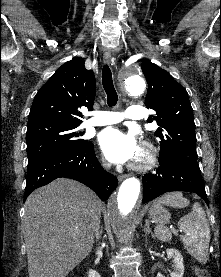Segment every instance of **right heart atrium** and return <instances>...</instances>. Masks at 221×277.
<instances>
[{
    "label": "right heart atrium",
    "instance_id": "right-heart-atrium-1",
    "mask_svg": "<svg viewBox=\"0 0 221 277\" xmlns=\"http://www.w3.org/2000/svg\"><path fill=\"white\" fill-rule=\"evenodd\" d=\"M102 165L107 166V163L104 160H102Z\"/></svg>",
    "mask_w": 221,
    "mask_h": 277
}]
</instances>
